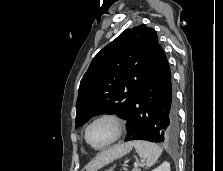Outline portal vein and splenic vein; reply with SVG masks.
I'll return each mask as SVG.
<instances>
[{
	"mask_svg": "<svg viewBox=\"0 0 223 171\" xmlns=\"http://www.w3.org/2000/svg\"><path fill=\"white\" fill-rule=\"evenodd\" d=\"M138 166H139V163L135 162L134 167H138Z\"/></svg>",
	"mask_w": 223,
	"mask_h": 171,
	"instance_id": "1",
	"label": "portal vein and splenic vein"
}]
</instances>
